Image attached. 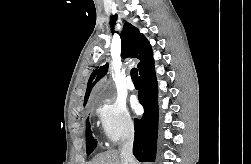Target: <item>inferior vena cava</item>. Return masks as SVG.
Segmentation results:
<instances>
[{"instance_id":"602c4592","label":"inferior vena cava","mask_w":251,"mask_h":164,"mask_svg":"<svg viewBox=\"0 0 251 164\" xmlns=\"http://www.w3.org/2000/svg\"><path fill=\"white\" fill-rule=\"evenodd\" d=\"M133 142H134V127L133 125H130L120 144V152L123 164H136V161L132 153Z\"/></svg>"}]
</instances>
